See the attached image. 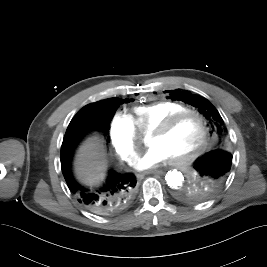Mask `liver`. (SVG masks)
Returning a JSON list of instances; mask_svg holds the SVG:
<instances>
[{"mask_svg":"<svg viewBox=\"0 0 267 267\" xmlns=\"http://www.w3.org/2000/svg\"><path fill=\"white\" fill-rule=\"evenodd\" d=\"M106 164L102 141L91 137L79 149L75 162L76 174L82 182L94 185L103 180Z\"/></svg>","mask_w":267,"mask_h":267,"instance_id":"liver-1","label":"liver"}]
</instances>
